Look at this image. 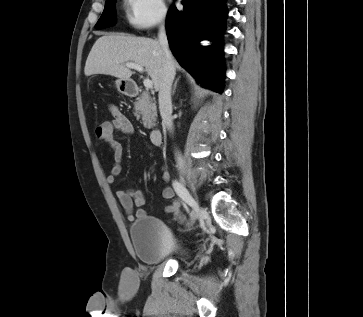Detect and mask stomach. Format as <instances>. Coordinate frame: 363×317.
Masks as SVG:
<instances>
[{
  "instance_id": "1",
  "label": "stomach",
  "mask_w": 363,
  "mask_h": 317,
  "mask_svg": "<svg viewBox=\"0 0 363 317\" xmlns=\"http://www.w3.org/2000/svg\"><path fill=\"white\" fill-rule=\"evenodd\" d=\"M130 81L125 79H117L115 81V86L117 90L122 94H128Z\"/></svg>"
}]
</instances>
